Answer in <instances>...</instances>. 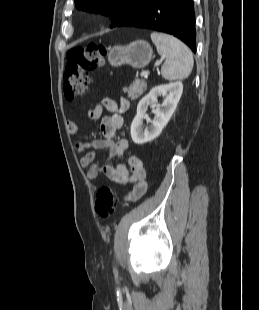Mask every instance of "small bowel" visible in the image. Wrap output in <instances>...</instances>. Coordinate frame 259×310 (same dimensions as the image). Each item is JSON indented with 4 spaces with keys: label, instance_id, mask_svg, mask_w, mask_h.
<instances>
[{
    "label": "small bowel",
    "instance_id": "c3829d8e",
    "mask_svg": "<svg viewBox=\"0 0 259 310\" xmlns=\"http://www.w3.org/2000/svg\"><path fill=\"white\" fill-rule=\"evenodd\" d=\"M129 108L130 103L125 98H121L118 103L107 98L94 108L89 109L87 115L90 119H101L100 131L102 138L89 143L77 140L74 143V149L77 153L83 154L80 159V166L87 169V177L90 180H95L101 174H104L117 184H130L133 189L126 196V201H137L145 195L148 187L143 161L138 156L132 155L128 158L127 165L112 164V158L124 155L129 147V142L126 139L114 141L116 132L123 126V114ZM66 129L69 135H75L79 128L75 121L69 120ZM88 148L93 150L87 152ZM97 150L107 152V157L102 162L96 161Z\"/></svg>",
    "mask_w": 259,
    "mask_h": 310
}]
</instances>
